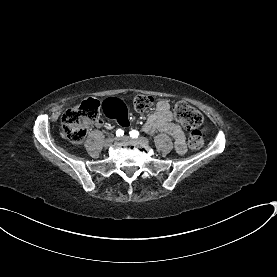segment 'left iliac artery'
<instances>
[{
  "label": "left iliac artery",
  "mask_w": 277,
  "mask_h": 277,
  "mask_svg": "<svg viewBox=\"0 0 277 277\" xmlns=\"http://www.w3.org/2000/svg\"><path fill=\"white\" fill-rule=\"evenodd\" d=\"M130 137L137 138L139 136V132L136 130H132L129 132Z\"/></svg>",
  "instance_id": "44dca946"
}]
</instances>
